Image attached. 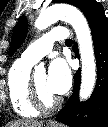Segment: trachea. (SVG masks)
I'll list each match as a JSON object with an SVG mask.
<instances>
[{"mask_svg": "<svg viewBox=\"0 0 108 127\" xmlns=\"http://www.w3.org/2000/svg\"><path fill=\"white\" fill-rule=\"evenodd\" d=\"M72 42H73L72 39H67V40L65 41L66 44H72Z\"/></svg>", "mask_w": 108, "mask_h": 127, "instance_id": "trachea-1", "label": "trachea"}]
</instances>
